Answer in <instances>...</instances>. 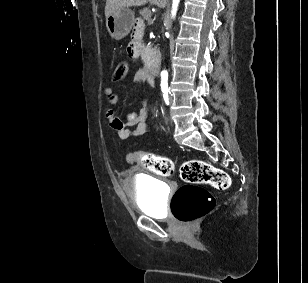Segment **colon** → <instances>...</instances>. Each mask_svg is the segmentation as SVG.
Returning a JSON list of instances; mask_svg holds the SVG:
<instances>
[{"instance_id":"5ec220e1","label":"colon","mask_w":308,"mask_h":283,"mask_svg":"<svg viewBox=\"0 0 308 283\" xmlns=\"http://www.w3.org/2000/svg\"><path fill=\"white\" fill-rule=\"evenodd\" d=\"M127 73L128 63L119 61L114 67L113 79H123ZM128 160L161 176H170L175 171L171 159L153 153L136 152L130 154ZM179 174L184 184L174 193L171 208L175 218L184 223L202 218L215 206L214 197L202 185H210L217 189H226L230 185V178L225 171L203 160L185 161L179 169Z\"/></svg>"}]
</instances>
